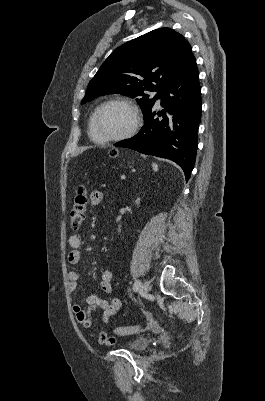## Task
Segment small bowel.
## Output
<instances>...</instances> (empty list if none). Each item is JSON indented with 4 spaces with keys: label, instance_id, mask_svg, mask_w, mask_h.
Returning a JSON list of instances; mask_svg holds the SVG:
<instances>
[{
    "label": "small bowel",
    "instance_id": "c3829d8e",
    "mask_svg": "<svg viewBox=\"0 0 265 401\" xmlns=\"http://www.w3.org/2000/svg\"><path fill=\"white\" fill-rule=\"evenodd\" d=\"M102 193L99 191H93L90 195V203L93 206H97L102 201ZM69 246L71 248L68 253L67 260L70 264L76 265L80 262L82 253V239L79 235L73 234L68 239ZM69 279V289L74 291L77 287V282L79 279V274L75 270H71L68 273ZM112 279L113 273L111 270L106 269L101 273L99 280L100 290L105 294H110L112 292ZM86 304L92 308H98L102 311L101 318L103 322L108 323L110 318L116 314V312L121 307V302L119 299L114 298L111 301H107L97 295H91L86 298ZM74 313L77 320L85 327L91 328L92 321L90 318V310L86 311L81 305L77 304L73 307ZM98 341L101 344L111 345L115 342V338L109 336L106 332H99Z\"/></svg>",
    "mask_w": 265,
    "mask_h": 401
}]
</instances>
